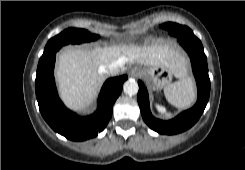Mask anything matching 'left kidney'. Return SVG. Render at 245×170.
Wrapping results in <instances>:
<instances>
[{
  "label": "left kidney",
  "instance_id": "left-kidney-1",
  "mask_svg": "<svg viewBox=\"0 0 245 170\" xmlns=\"http://www.w3.org/2000/svg\"><path fill=\"white\" fill-rule=\"evenodd\" d=\"M158 109H159L160 111H163V108H161V107H158Z\"/></svg>",
  "mask_w": 245,
  "mask_h": 170
}]
</instances>
